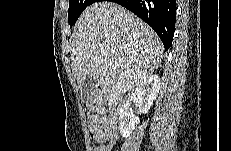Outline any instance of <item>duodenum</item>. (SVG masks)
Wrapping results in <instances>:
<instances>
[{
  "label": "duodenum",
  "instance_id": "duodenum-1",
  "mask_svg": "<svg viewBox=\"0 0 231 151\" xmlns=\"http://www.w3.org/2000/svg\"><path fill=\"white\" fill-rule=\"evenodd\" d=\"M98 92L105 94V101L108 103L109 108L113 112H119L122 100L120 94L117 90L109 91V88L106 85L99 84L97 87Z\"/></svg>",
  "mask_w": 231,
  "mask_h": 151
}]
</instances>
